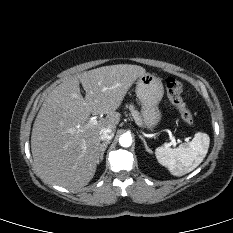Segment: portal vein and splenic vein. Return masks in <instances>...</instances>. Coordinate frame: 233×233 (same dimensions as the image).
Wrapping results in <instances>:
<instances>
[{
    "label": "portal vein and splenic vein",
    "instance_id": "1",
    "mask_svg": "<svg viewBox=\"0 0 233 233\" xmlns=\"http://www.w3.org/2000/svg\"><path fill=\"white\" fill-rule=\"evenodd\" d=\"M98 123V121H97V119L96 118H91L89 121H88V123L86 124V126H91V125H95V124H97ZM170 139H171V145H173L174 147L177 145V143H176V140H175V138L172 136V135H170Z\"/></svg>",
    "mask_w": 233,
    "mask_h": 233
}]
</instances>
